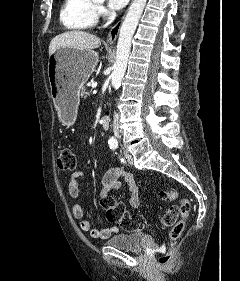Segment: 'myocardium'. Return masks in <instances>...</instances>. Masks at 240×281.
I'll use <instances>...</instances> for the list:
<instances>
[{"label": "myocardium", "mask_w": 240, "mask_h": 281, "mask_svg": "<svg viewBox=\"0 0 240 281\" xmlns=\"http://www.w3.org/2000/svg\"><path fill=\"white\" fill-rule=\"evenodd\" d=\"M91 1L93 2V4H94L96 7H98L99 4H100V2H99L98 0H91Z\"/></svg>", "instance_id": "1"}]
</instances>
